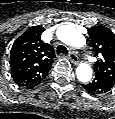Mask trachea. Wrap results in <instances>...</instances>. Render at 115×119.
Instances as JSON below:
<instances>
[{"mask_svg":"<svg viewBox=\"0 0 115 119\" xmlns=\"http://www.w3.org/2000/svg\"><path fill=\"white\" fill-rule=\"evenodd\" d=\"M68 53V50L65 46L63 45H58L57 46V54H67Z\"/></svg>","mask_w":115,"mask_h":119,"instance_id":"3493384b","label":"trachea"}]
</instances>
